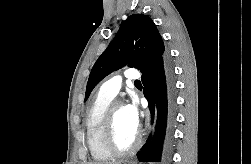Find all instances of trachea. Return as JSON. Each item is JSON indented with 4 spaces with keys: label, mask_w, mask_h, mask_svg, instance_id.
<instances>
[{
    "label": "trachea",
    "mask_w": 251,
    "mask_h": 164,
    "mask_svg": "<svg viewBox=\"0 0 251 164\" xmlns=\"http://www.w3.org/2000/svg\"><path fill=\"white\" fill-rule=\"evenodd\" d=\"M135 83H140V81H139V80H136Z\"/></svg>",
    "instance_id": "1"
}]
</instances>
